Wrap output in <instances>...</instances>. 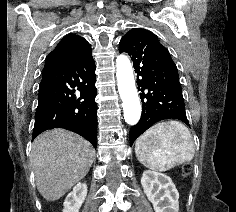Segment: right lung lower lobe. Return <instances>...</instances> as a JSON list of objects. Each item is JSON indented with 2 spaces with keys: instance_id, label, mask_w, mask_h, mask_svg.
Wrapping results in <instances>:
<instances>
[{
  "instance_id": "right-lung-lower-lobe-1",
  "label": "right lung lower lobe",
  "mask_w": 236,
  "mask_h": 212,
  "mask_svg": "<svg viewBox=\"0 0 236 212\" xmlns=\"http://www.w3.org/2000/svg\"><path fill=\"white\" fill-rule=\"evenodd\" d=\"M95 68L89 46L78 57L43 70L32 140L46 130L65 128L96 147Z\"/></svg>"
}]
</instances>
